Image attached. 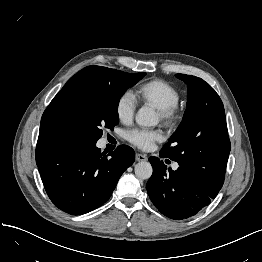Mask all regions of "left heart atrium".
Wrapping results in <instances>:
<instances>
[{
	"instance_id": "obj_1",
	"label": "left heart atrium",
	"mask_w": 262,
	"mask_h": 262,
	"mask_svg": "<svg viewBox=\"0 0 262 262\" xmlns=\"http://www.w3.org/2000/svg\"><path fill=\"white\" fill-rule=\"evenodd\" d=\"M127 139L140 149H151L155 142L162 139L160 130L133 129L127 133Z\"/></svg>"
}]
</instances>
